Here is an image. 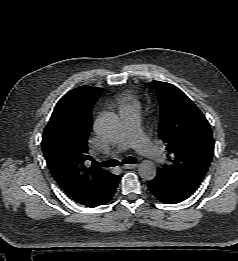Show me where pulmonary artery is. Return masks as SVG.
Returning a JSON list of instances; mask_svg holds the SVG:
<instances>
[{
    "label": "pulmonary artery",
    "instance_id": "obj_1",
    "mask_svg": "<svg viewBox=\"0 0 238 261\" xmlns=\"http://www.w3.org/2000/svg\"><path fill=\"white\" fill-rule=\"evenodd\" d=\"M122 129L112 155H116L128 148H135L142 155L155 162L164 159L162 152L144 135L141 128L138 106H128L120 110Z\"/></svg>",
    "mask_w": 238,
    "mask_h": 261
}]
</instances>
